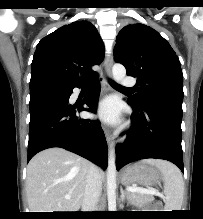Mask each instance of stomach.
Instances as JSON below:
<instances>
[{"instance_id":"1","label":"stomach","mask_w":203,"mask_h":219,"mask_svg":"<svg viewBox=\"0 0 203 219\" xmlns=\"http://www.w3.org/2000/svg\"><path fill=\"white\" fill-rule=\"evenodd\" d=\"M123 184L137 183L151 187L163 180L162 172L155 166L146 163H135L125 168L120 175Z\"/></svg>"}]
</instances>
